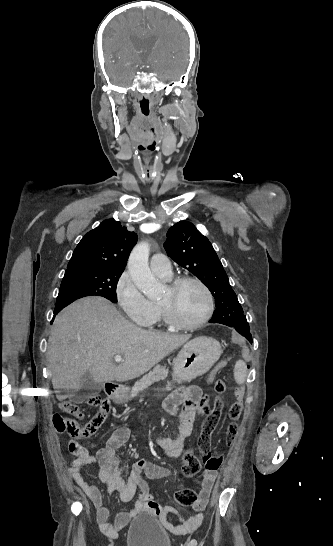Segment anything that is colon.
<instances>
[{
	"mask_svg": "<svg viewBox=\"0 0 333 546\" xmlns=\"http://www.w3.org/2000/svg\"><path fill=\"white\" fill-rule=\"evenodd\" d=\"M234 398L235 402L229 409V417L232 420L227 432L226 441L231 445L237 433L236 421L241 414V403L244 401L246 390L240 381L234 382ZM215 392L221 394L226 391V383L218 379L214 383ZM90 406H99V411L84 425H81L76 419L64 417L60 414L53 416V426L59 433H67L69 436L77 439H86L93 436L106 420L111 407L108 399H101L100 396L93 394L87 399ZM199 409L202 414V422L200 434L197 440V449H187L183 453V473L187 477H192L200 472L204 466L206 470L216 471L222 462L221 457H213L210 453L211 434L216 428L223 403L219 398H216L212 405L208 404L207 397L202 398L199 403ZM60 408L64 413L81 417L82 412L79 407L72 401L65 400L60 403ZM176 502L181 506H190L198 502L197 495L190 489L179 490L175 495Z\"/></svg>",
	"mask_w": 333,
	"mask_h": 546,
	"instance_id": "5ec220e1",
	"label": "colon"
}]
</instances>
